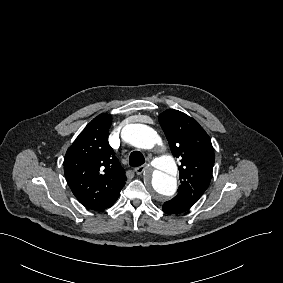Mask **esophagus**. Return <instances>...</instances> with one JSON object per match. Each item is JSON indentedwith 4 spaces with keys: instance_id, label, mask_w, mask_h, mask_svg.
Listing matches in <instances>:
<instances>
[{
    "instance_id": "34e87169",
    "label": "esophagus",
    "mask_w": 283,
    "mask_h": 283,
    "mask_svg": "<svg viewBox=\"0 0 283 283\" xmlns=\"http://www.w3.org/2000/svg\"><path fill=\"white\" fill-rule=\"evenodd\" d=\"M147 168H148V164H144V165H142V166H139V167L135 168V172H136V174L140 175V174H142Z\"/></svg>"
}]
</instances>
